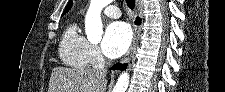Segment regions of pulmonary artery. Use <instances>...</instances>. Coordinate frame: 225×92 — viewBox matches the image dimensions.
<instances>
[{"mask_svg": "<svg viewBox=\"0 0 225 92\" xmlns=\"http://www.w3.org/2000/svg\"><path fill=\"white\" fill-rule=\"evenodd\" d=\"M107 3H110V0H103ZM104 14L111 18H119L121 13L117 6L113 4H108L107 7L104 9Z\"/></svg>", "mask_w": 225, "mask_h": 92, "instance_id": "obj_1", "label": "pulmonary artery"}]
</instances>
